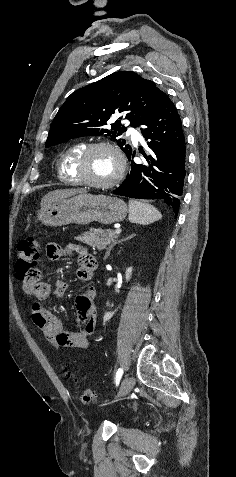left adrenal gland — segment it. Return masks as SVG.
Here are the masks:
<instances>
[{
    "instance_id": "1",
    "label": "left adrenal gland",
    "mask_w": 236,
    "mask_h": 477,
    "mask_svg": "<svg viewBox=\"0 0 236 477\" xmlns=\"http://www.w3.org/2000/svg\"><path fill=\"white\" fill-rule=\"evenodd\" d=\"M133 236H135V235H131V236H129V237H127V238H125V239H123V240H121V241H118V243H119V242H123V241H127V240L131 239ZM115 244H117V242H115L114 244H112V245L110 246V248L108 249V251H107V253H106V255H105V259L110 255V252H111L112 248L115 246Z\"/></svg>"
}]
</instances>
